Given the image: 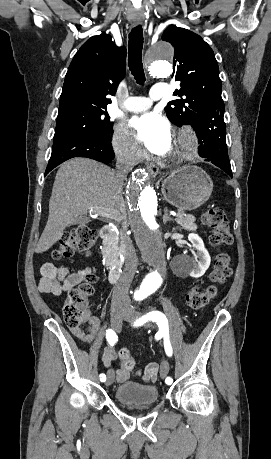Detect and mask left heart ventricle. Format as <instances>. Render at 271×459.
<instances>
[{
  "instance_id": "b2bd125f",
  "label": "left heart ventricle",
  "mask_w": 271,
  "mask_h": 459,
  "mask_svg": "<svg viewBox=\"0 0 271 459\" xmlns=\"http://www.w3.org/2000/svg\"><path fill=\"white\" fill-rule=\"evenodd\" d=\"M170 144H171V142L167 145V147L165 148V150L163 152H166L170 148Z\"/></svg>"
}]
</instances>
